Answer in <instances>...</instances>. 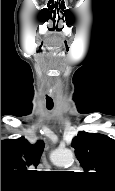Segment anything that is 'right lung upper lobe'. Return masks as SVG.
Wrapping results in <instances>:
<instances>
[{
    "label": "right lung upper lobe",
    "instance_id": "obj_1",
    "mask_svg": "<svg viewBox=\"0 0 115 191\" xmlns=\"http://www.w3.org/2000/svg\"><path fill=\"white\" fill-rule=\"evenodd\" d=\"M44 144L38 141L30 144L24 137L1 140V189L21 183L37 166Z\"/></svg>",
    "mask_w": 115,
    "mask_h": 191
}]
</instances>
